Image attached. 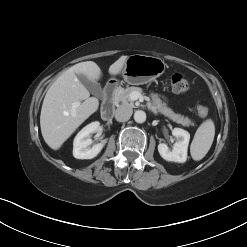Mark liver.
<instances>
[{"mask_svg":"<svg viewBox=\"0 0 247 247\" xmlns=\"http://www.w3.org/2000/svg\"><path fill=\"white\" fill-rule=\"evenodd\" d=\"M128 57L121 56L109 67L110 75L120 73ZM77 75L96 82L102 76L100 67L93 61L81 62L65 71L51 85L43 100L40 127L47 145L58 150L75 130L98 110L99 100L90 97L89 91ZM76 101L80 105L73 108Z\"/></svg>","mask_w":247,"mask_h":247,"instance_id":"obj_1","label":"liver"}]
</instances>
